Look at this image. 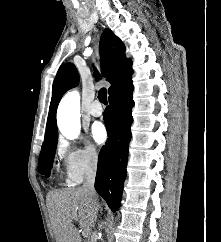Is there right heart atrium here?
<instances>
[{
    "label": "right heart atrium",
    "mask_w": 221,
    "mask_h": 242,
    "mask_svg": "<svg viewBox=\"0 0 221 242\" xmlns=\"http://www.w3.org/2000/svg\"><path fill=\"white\" fill-rule=\"evenodd\" d=\"M56 154L62 161L67 182L76 184L95 171L99 164V152L91 144L76 146L60 138L56 143Z\"/></svg>",
    "instance_id": "obj_1"
}]
</instances>
